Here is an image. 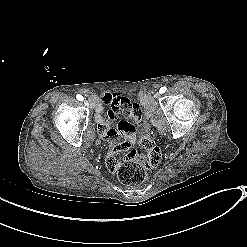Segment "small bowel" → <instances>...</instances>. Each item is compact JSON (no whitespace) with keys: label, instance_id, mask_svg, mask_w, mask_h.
Instances as JSON below:
<instances>
[{"label":"small bowel","instance_id":"obj_1","mask_svg":"<svg viewBox=\"0 0 247 247\" xmlns=\"http://www.w3.org/2000/svg\"><path fill=\"white\" fill-rule=\"evenodd\" d=\"M99 107L94 109V114L96 121L100 126H105L108 122L113 121L116 117L121 115V108H130L132 106V101L120 94H106L100 98ZM102 106L107 107V118L103 114ZM135 112L141 113L143 110L142 105L137 104L134 107ZM136 121L135 118H132ZM117 131L115 129L103 130L101 132V137L103 139L113 138L116 142H121L125 138L129 143L133 141L134 138V126L132 123L126 120H122L118 123ZM126 148V143H121L119 145H113V150H122ZM107 168L111 172H116L118 170V165L114 162L115 156L113 154H108L106 156Z\"/></svg>","mask_w":247,"mask_h":247}]
</instances>
